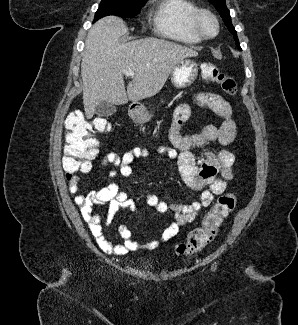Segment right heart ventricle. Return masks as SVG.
Returning <instances> with one entry per match:
<instances>
[{
	"instance_id": "1",
	"label": "right heart ventricle",
	"mask_w": 298,
	"mask_h": 325,
	"mask_svg": "<svg viewBox=\"0 0 298 325\" xmlns=\"http://www.w3.org/2000/svg\"><path fill=\"white\" fill-rule=\"evenodd\" d=\"M199 10L190 1L172 0L158 4L152 14L155 37H171L179 45L195 46L202 39L192 30L190 22Z\"/></svg>"
}]
</instances>
